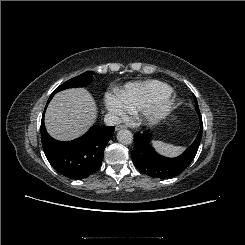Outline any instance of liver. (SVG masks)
I'll list each match as a JSON object with an SVG mask.
<instances>
[{
  "instance_id": "obj_1",
  "label": "liver",
  "mask_w": 245,
  "mask_h": 245,
  "mask_svg": "<svg viewBox=\"0 0 245 245\" xmlns=\"http://www.w3.org/2000/svg\"><path fill=\"white\" fill-rule=\"evenodd\" d=\"M96 117L95 101L86 89H67L57 93L50 102L45 125L53 138L72 140L85 133Z\"/></svg>"
}]
</instances>
